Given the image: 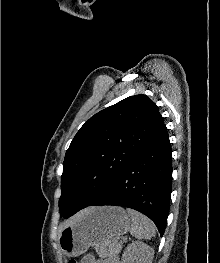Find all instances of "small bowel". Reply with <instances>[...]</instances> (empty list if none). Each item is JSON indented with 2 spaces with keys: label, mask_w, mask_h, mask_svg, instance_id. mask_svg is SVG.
I'll return each instance as SVG.
<instances>
[{
  "label": "small bowel",
  "mask_w": 220,
  "mask_h": 263,
  "mask_svg": "<svg viewBox=\"0 0 220 263\" xmlns=\"http://www.w3.org/2000/svg\"><path fill=\"white\" fill-rule=\"evenodd\" d=\"M81 263H117V262H113V261H99V260L95 259L94 256L87 255V256L84 257V259L82 260Z\"/></svg>",
  "instance_id": "c3829d8e"
}]
</instances>
